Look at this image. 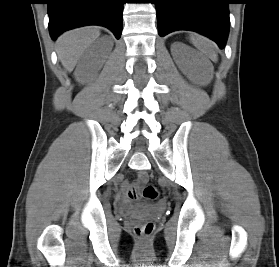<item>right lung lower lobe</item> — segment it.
I'll list each match as a JSON object with an SVG mask.
<instances>
[{"instance_id": "1", "label": "right lung lower lobe", "mask_w": 279, "mask_h": 267, "mask_svg": "<svg viewBox=\"0 0 279 267\" xmlns=\"http://www.w3.org/2000/svg\"><path fill=\"white\" fill-rule=\"evenodd\" d=\"M123 0H48L49 30L53 40L62 32L85 25L109 28L117 39L122 32Z\"/></svg>"}]
</instances>
